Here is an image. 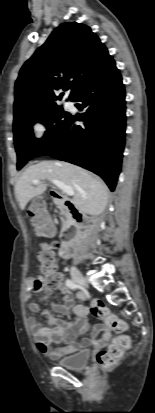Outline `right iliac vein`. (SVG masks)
<instances>
[{
  "mask_svg": "<svg viewBox=\"0 0 155 413\" xmlns=\"http://www.w3.org/2000/svg\"><path fill=\"white\" fill-rule=\"evenodd\" d=\"M72 278L79 285H81L83 287H86V288L88 287L86 279L84 278V276L80 272H78V271L73 272Z\"/></svg>",
  "mask_w": 155,
  "mask_h": 413,
  "instance_id": "obj_1",
  "label": "right iliac vein"
}]
</instances>
